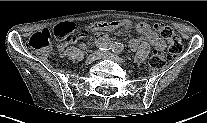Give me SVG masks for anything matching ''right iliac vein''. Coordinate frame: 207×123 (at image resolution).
Here are the masks:
<instances>
[{
  "label": "right iliac vein",
  "instance_id": "63e3f726",
  "mask_svg": "<svg viewBox=\"0 0 207 123\" xmlns=\"http://www.w3.org/2000/svg\"><path fill=\"white\" fill-rule=\"evenodd\" d=\"M101 56L100 52H94L91 55H89L85 61L86 64H90L92 62H94L95 60L99 59Z\"/></svg>",
  "mask_w": 207,
  "mask_h": 123
}]
</instances>
